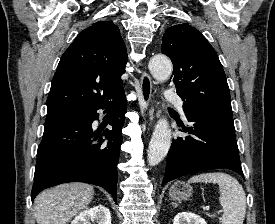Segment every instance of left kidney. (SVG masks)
Returning <instances> with one entry per match:
<instances>
[{
    "mask_svg": "<svg viewBox=\"0 0 275 224\" xmlns=\"http://www.w3.org/2000/svg\"><path fill=\"white\" fill-rule=\"evenodd\" d=\"M173 224H207L206 221L200 216L189 213L181 212L174 217Z\"/></svg>",
    "mask_w": 275,
    "mask_h": 224,
    "instance_id": "obj_1",
    "label": "left kidney"
}]
</instances>
